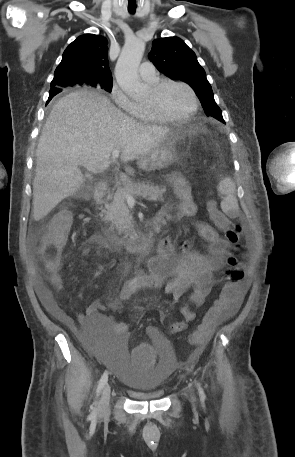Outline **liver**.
<instances>
[{"mask_svg": "<svg viewBox=\"0 0 295 457\" xmlns=\"http://www.w3.org/2000/svg\"><path fill=\"white\" fill-rule=\"evenodd\" d=\"M172 133L163 126L135 121L96 92L76 91L59 99L44 125L36 151L33 218H44L85 179L79 166L101 173L114 149L121 161L141 159ZM128 174L133 173L126 167Z\"/></svg>", "mask_w": 295, "mask_h": 457, "instance_id": "6515ba94", "label": "liver"}]
</instances>
